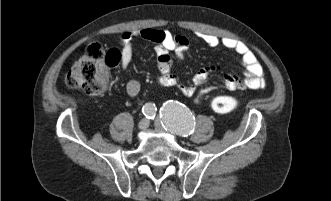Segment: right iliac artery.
<instances>
[{
	"instance_id": "obj_1",
	"label": "right iliac artery",
	"mask_w": 331,
	"mask_h": 201,
	"mask_svg": "<svg viewBox=\"0 0 331 201\" xmlns=\"http://www.w3.org/2000/svg\"><path fill=\"white\" fill-rule=\"evenodd\" d=\"M156 107H155V104L153 103H147L143 106L142 108V112L143 114L146 116V118L148 119H152L155 117L156 115Z\"/></svg>"
}]
</instances>
